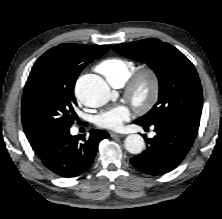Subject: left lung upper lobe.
Returning a JSON list of instances; mask_svg holds the SVG:
<instances>
[{"label": "left lung upper lobe", "instance_id": "1", "mask_svg": "<svg viewBox=\"0 0 222 219\" xmlns=\"http://www.w3.org/2000/svg\"><path fill=\"white\" fill-rule=\"evenodd\" d=\"M112 49L125 57L146 63L158 76V102L136 121L153 124L173 118L199 127L202 88L194 65L180 51L158 39L114 45Z\"/></svg>", "mask_w": 222, "mask_h": 219}]
</instances>
